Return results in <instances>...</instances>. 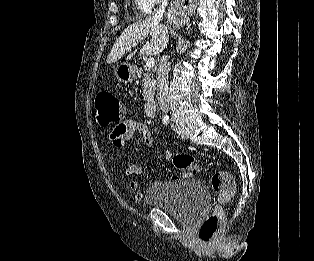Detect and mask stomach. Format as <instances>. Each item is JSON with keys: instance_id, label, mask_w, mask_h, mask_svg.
<instances>
[{"instance_id": "stomach-1", "label": "stomach", "mask_w": 314, "mask_h": 261, "mask_svg": "<svg viewBox=\"0 0 314 261\" xmlns=\"http://www.w3.org/2000/svg\"><path fill=\"white\" fill-rule=\"evenodd\" d=\"M115 75L120 82L131 83L136 77V69L127 63L120 64L115 70Z\"/></svg>"}]
</instances>
